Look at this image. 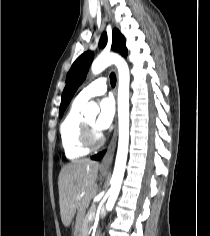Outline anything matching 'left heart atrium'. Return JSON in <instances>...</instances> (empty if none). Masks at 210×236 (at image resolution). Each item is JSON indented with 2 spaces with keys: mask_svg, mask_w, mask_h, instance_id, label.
<instances>
[{
  "mask_svg": "<svg viewBox=\"0 0 210 236\" xmlns=\"http://www.w3.org/2000/svg\"><path fill=\"white\" fill-rule=\"evenodd\" d=\"M115 107L111 98H105L100 103V112L95 122V127L98 131L108 129L114 118Z\"/></svg>",
  "mask_w": 210,
  "mask_h": 236,
  "instance_id": "obj_1",
  "label": "left heart atrium"
}]
</instances>
